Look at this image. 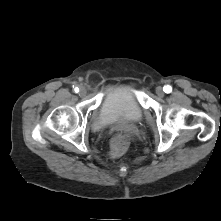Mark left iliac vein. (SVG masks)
Instances as JSON below:
<instances>
[{
    "mask_svg": "<svg viewBox=\"0 0 221 221\" xmlns=\"http://www.w3.org/2000/svg\"><path fill=\"white\" fill-rule=\"evenodd\" d=\"M156 94L159 96V97H163L164 96V90L162 87H157L156 88Z\"/></svg>",
    "mask_w": 221,
    "mask_h": 221,
    "instance_id": "1",
    "label": "left iliac vein"
}]
</instances>
